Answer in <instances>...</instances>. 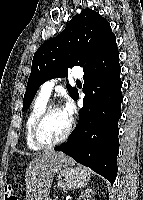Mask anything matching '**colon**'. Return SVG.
Returning <instances> with one entry per match:
<instances>
[{"mask_svg":"<svg viewBox=\"0 0 143 200\" xmlns=\"http://www.w3.org/2000/svg\"><path fill=\"white\" fill-rule=\"evenodd\" d=\"M4 200H18L11 185L5 188Z\"/></svg>","mask_w":143,"mask_h":200,"instance_id":"obj_1","label":"colon"}]
</instances>
